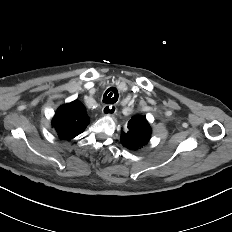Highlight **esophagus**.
<instances>
[{"mask_svg":"<svg viewBox=\"0 0 232 232\" xmlns=\"http://www.w3.org/2000/svg\"><path fill=\"white\" fill-rule=\"evenodd\" d=\"M102 112L105 114V115H109V116H112L116 113V107L114 105H105L103 108H102Z\"/></svg>","mask_w":232,"mask_h":232,"instance_id":"obj_1","label":"esophagus"}]
</instances>
